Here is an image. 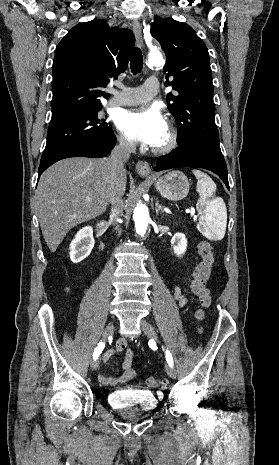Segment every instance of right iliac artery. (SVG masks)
<instances>
[{"label": "right iliac artery", "mask_w": 279, "mask_h": 465, "mask_svg": "<svg viewBox=\"0 0 279 465\" xmlns=\"http://www.w3.org/2000/svg\"><path fill=\"white\" fill-rule=\"evenodd\" d=\"M104 347H105L104 342H100V343L98 344V346L95 348L94 353H93V358H94V359H97V358H98V356H99V355L101 354V352L103 351Z\"/></svg>", "instance_id": "right-iliac-artery-1"}]
</instances>
